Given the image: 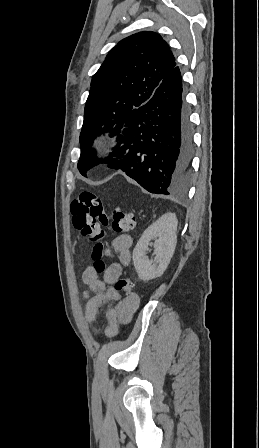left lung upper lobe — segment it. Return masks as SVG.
<instances>
[{
  "instance_id": "1",
  "label": "left lung upper lobe",
  "mask_w": 259,
  "mask_h": 448,
  "mask_svg": "<svg viewBox=\"0 0 259 448\" xmlns=\"http://www.w3.org/2000/svg\"><path fill=\"white\" fill-rule=\"evenodd\" d=\"M177 65L169 45L155 32L143 31L121 40L92 76L80 133V173L96 160L91 148L99 133L120 134L133 109L144 105L162 79Z\"/></svg>"
}]
</instances>
